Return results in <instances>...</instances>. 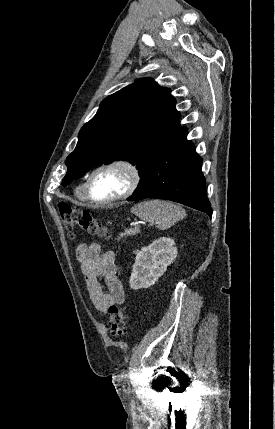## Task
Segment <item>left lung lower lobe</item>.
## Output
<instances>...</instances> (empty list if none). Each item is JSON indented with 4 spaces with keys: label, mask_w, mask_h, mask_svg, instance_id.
Instances as JSON below:
<instances>
[{
    "label": "left lung lower lobe",
    "mask_w": 275,
    "mask_h": 429,
    "mask_svg": "<svg viewBox=\"0 0 275 429\" xmlns=\"http://www.w3.org/2000/svg\"><path fill=\"white\" fill-rule=\"evenodd\" d=\"M201 165L202 158L187 140V129L180 127L151 159L138 187L127 200L166 199L212 216Z\"/></svg>",
    "instance_id": "left-lung-lower-lobe-1"
}]
</instances>
